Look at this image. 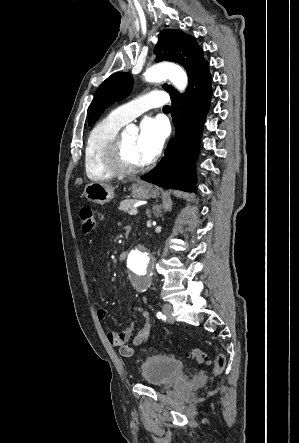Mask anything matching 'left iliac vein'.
Segmentation results:
<instances>
[{
	"instance_id": "4c4485c4",
	"label": "left iliac vein",
	"mask_w": 299,
	"mask_h": 443,
	"mask_svg": "<svg viewBox=\"0 0 299 443\" xmlns=\"http://www.w3.org/2000/svg\"><path fill=\"white\" fill-rule=\"evenodd\" d=\"M163 313L165 314V317L169 322H174V317L172 315L173 308L170 304H164Z\"/></svg>"
}]
</instances>
